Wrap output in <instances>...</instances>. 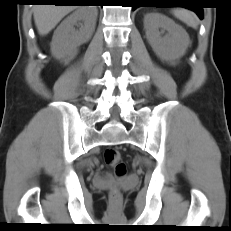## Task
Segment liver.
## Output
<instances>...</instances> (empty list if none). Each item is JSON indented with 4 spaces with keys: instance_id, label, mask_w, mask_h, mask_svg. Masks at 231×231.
<instances>
[{
    "instance_id": "6515ba94",
    "label": "liver",
    "mask_w": 231,
    "mask_h": 231,
    "mask_svg": "<svg viewBox=\"0 0 231 231\" xmlns=\"http://www.w3.org/2000/svg\"><path fill=\"white\" fill-rule=\"evenodd\" d=\"M75 5H36L33 8L34 21L40 35H47L70 12Z\"/></svg>"
}]
</instances>
